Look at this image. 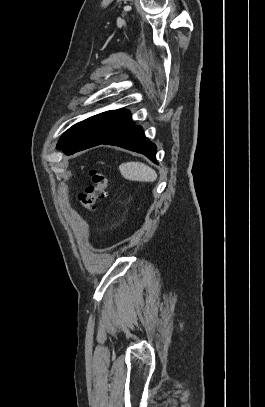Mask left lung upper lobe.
<instances>
[{
	"instance_id": "5c2ea615",
	"label": "left lung upper lobe",
	"mask_w": 265,
	"mask_h": 407,
	"mask_svg": "<svg viewBox=\"0 0 265 407\" xmlns=\"http://www.w3.org/2000/svg\"><path fill=\"white\" fill-rule=\"evenodd\" d=\"M132 124L127 110L107 111L70 127L60 138L57 148L90 147L108 140Z\"/></svg>"
}]
</instances>
